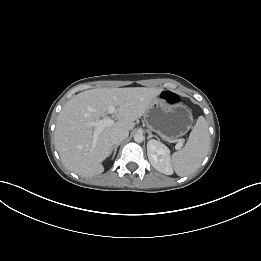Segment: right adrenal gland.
Listing matches in <instances>:
<instances>
[{"instance_id":"right-adrenal-gland-1","label":"right adrenal gland","mask_w":261,"mask_h":261,"mask_svg":"<svg viewBox=\"0 0 261 261\" xmlns=\"http://www.w3.org/2000/svg\"><path fill=\"white\" fill-rule=\"evenodd\" d=\"M120 144L118 145H115L112 147V150H113V156H112V159H114V157L116 156V152H117V148L119 147Z\"/></svg>"}]
</instances>
